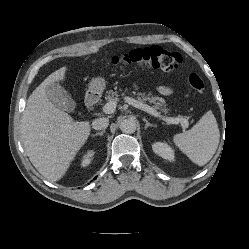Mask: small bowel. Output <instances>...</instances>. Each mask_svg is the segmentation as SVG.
Listing matches in <instances>:
<instances>
[{"mask_svg":"<svg viewBox=\"0 0 249 249\" xmlns=\"http://www.w3.org/2000/svg\"><path fill=\"white\" fill-rule=\"evenodd\" d=\"M158 91L163 95H170L172 93V89L166 85L158 86Z\"/></svg>","mask_w":249,"mask_h":249,"instance_id":"c3829d8e","label":"small bowel"}]
</instances>
